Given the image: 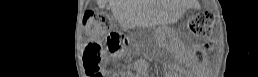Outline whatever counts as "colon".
I'll list each match as a JSON object with an SVG mask.
<instances>
[{"instance_id": "colon-1", "label": "colon", "mask_w": 258, "mask_h": 77, "mask_svg": "<svg viewBox=\"0 0 258 77\" xmlns=\"http://www.w3.org/2000/svg\"><path fill=\"white\" fill-rule=\"evenodd\" d=\"M212 19V14L209 12H200L189 22L192 32L196 37L206 41L207 48L211 46L209 37L212 31ZM84 31L88 38L84 52L86 74L89 77H100L104 49L110 53L121 52L128 47L129 40L124 34L113 30L112 19L104 12L85 13Z\"/></svg>"}]
</instances>
